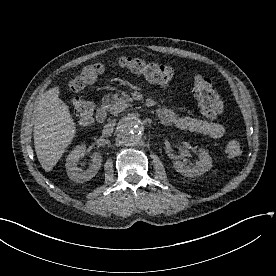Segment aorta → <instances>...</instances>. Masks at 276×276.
Here are the masks:
<instances>
[{"mask_svg": "<svg viewBox=\"0 0 276 276\" xmlns=\"http://www.w3.org/2000/svg\"><path fill=\"white\" fill-rule=\"evenodd\" d=\"M117 134L126 145L133 146L138 144L143 135L141 120L135 115L125 117L118 126Z\"/></svg>", "mask_w": 276, "mask_h": 276, "instance_id": "762f6f07", "label": "aorta"}]
</instances>
